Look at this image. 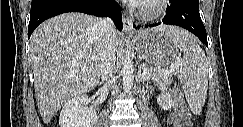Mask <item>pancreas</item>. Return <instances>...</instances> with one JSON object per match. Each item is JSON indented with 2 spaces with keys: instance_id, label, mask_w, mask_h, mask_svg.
I'll list each match as a JSON object with an SVG mask.
<instances>
[{
  "instance_id": "pancreas-1",
  "label": "pancreas",
  "mask_w": 243,
  "mask_h": 127,
  "mask_svg": "<svg viewBox=\"0 0 243 127\" xmlns=\"http://www.w3.org/2000/svg\"><path fill=\"white\" fill-rule=\"evenodd\" d=\"M149 73L146 74L155 84L161 88H167L172 83V78L170 76H165L160 70L155 68H147Z\"/></svg>"
}]
</instances>
